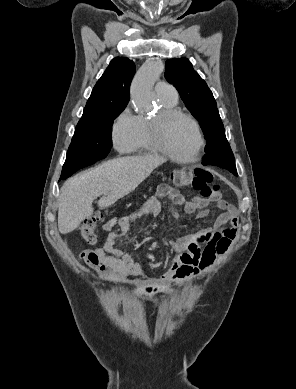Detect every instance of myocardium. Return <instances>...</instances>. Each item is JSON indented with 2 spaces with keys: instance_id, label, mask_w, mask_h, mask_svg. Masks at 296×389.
Segmentation results:
<instances>
[{
  "instance_id": "1",
  "label": "myocardium",
  "mask_w": 296,
  "mask_h": 389,
  "mask_svg": "<svg viewBox=\"0 0 296 389\" xmlns=\"http://www.w3.org/2000/svg\"><path fill=\"white\" fill-rule=\"evenodd\" d=\"M177 118H184L190 121L194 126L197 134V138H198L197 147L194 153L189 157H180L174 154L166 145L165 131L167 125L171 121ZM149 128H150L151 140L156 151L162 153L163 155L167 156L168 158L176 162L185 163V164L193 163L200 158L202 151L205 147V137L199 122L192 115L176 108L174 109L163 108L156 116L150 119Z\"/></svg>"
}]
</instances>
